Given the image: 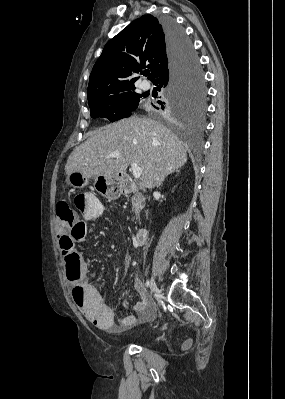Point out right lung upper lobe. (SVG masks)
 Wrapping results in <instances>:
<instances>
[{"label": "right lung upper lobe", "instance_id": "cb5924a9", "mask_svg": "<svg viewBox=\"0 0 285 399\" xmlns=\"http://www.w3.org/2000/svg\"><path fill=\"white\" fill-rule=\"evenodd\" d=\"M168 49L161 21L143 15L107 42L90 74L88 101L135 88L144 67L150 79L167 67Z\"/></svg>", "mask_w": 285, "mask_h": 399}]
</instances>
